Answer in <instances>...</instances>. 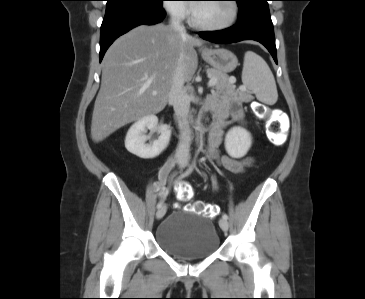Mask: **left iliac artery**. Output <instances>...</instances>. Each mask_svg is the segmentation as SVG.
I'll use <instances>...</instances> for the list:
<instances>
[{
	"mask_svg": "<svg viewBox=\"0 0 365 299\" xmlns=\"http://www.w3.org/2000/svg\"><path fill=\"white\" fill-rule=\"evenodd\" d=\"M213 183H214V185L216 187L217 186V183H216L215 180H213ZM222 218L227 220L228 219V215L226 213H223Z\"/></svg>",
	"mask_w": 365,
	"mask_h": 299,
	"instance_id": "obj_1",
	"label": "left iliac artery"
}]
</instances>
